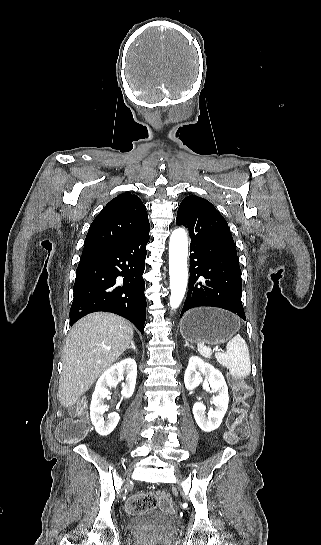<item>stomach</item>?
Listing matches in <instances>:
<instances>
[{"label": "stomach", "instance_id": "1", "mask_svg": "<svg viewBox=\"0 0 321 545\" xmlns=\"http://www.w3.org/2000/svg\"><path fill=\"white\" fill-rule=\"evenodd\" d=\"M239 327L240 321L232 313L214 307H200L184 315L180 333L190 343L201 341L208 345H220L235 335Z\"/></svg>", "mask_w": 321, "mask_h": 545}]
</instances>
